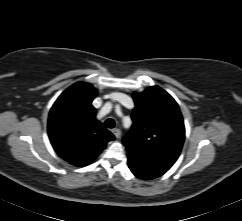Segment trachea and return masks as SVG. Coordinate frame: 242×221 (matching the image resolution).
Listing matches in <instances>:
<instances>
[{"instance_id":"3493384b","label":"trachea","mask_w":242,"mask_h":221,"mask_svg":"<svg viewBox=\"0 0 242 221\" xmlns=\"http://www.w3.org/2000/svg\"><path fill=\"white\" fill-rule=\"evenodd\" d=\"M105 126L107 128H114L115 127V121L113 119L109 118L105 121Z\"/></svg>"}]
</instances>
